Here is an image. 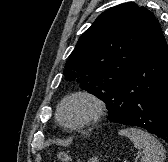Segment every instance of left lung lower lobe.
I'll list each match as a JSON object with an SVG mask.
<instances>
[{"label":"left lung lower lobe","mask_w":168,"mask_h":162,"mask_svg":"<svg viewBox=\"0 0 168 162\" xmlns=\"http://www.w3.org/2000/svg\"><path fill=\"white\" fill-rule=\"evenodd\" d=\"M107 119L137 126L168 142V49L161 37L115 88Z\"/></svg>","instance_id":"obj_1"}]
</instances>
